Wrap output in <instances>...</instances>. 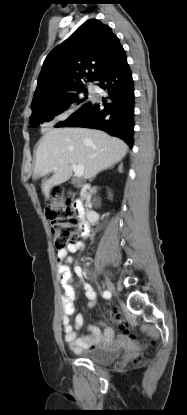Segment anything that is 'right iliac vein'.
<instances>
[{"instance_id":"obj_1","label":"right iliac vein","mask_w":187,"mask_h":415,"mask_svg":"<svg viewBox=\"0 0 187 415\" xmlns=\"http://www.w3.org/2000/svg\"><path fill=\"white\" fill-rule=\"evenodd\" d=\"M105 284L107 289L109 290V292L114 293L115 292V286L114 284L111 282L110 279L106 278L105 279Z\"/></svg>"}]
</instances>
